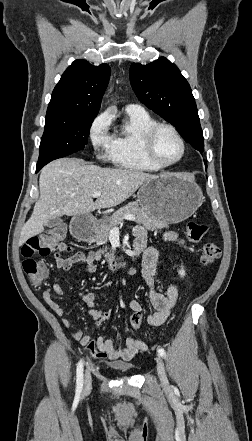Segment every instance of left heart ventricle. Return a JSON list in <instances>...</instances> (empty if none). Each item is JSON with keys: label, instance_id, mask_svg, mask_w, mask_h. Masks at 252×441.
Returning <instances> with one entry per match:
<instances>
[{"label": "left heart ventricle", "instance_id": "left-heart-ventricle-1", "mask_svg": "<svg viewBox=\"0 0 252 441\" xmlns=\"http://www.w3.org/2000/svg\"><path fill=\"white\" fill-rule=\"evenodd\" d=\"M181 144L168 130H161L155 138V154L164 163L177 159L181 154Z\"/></svg>", "mask_w": 252, "mask_h": 441}]
</instances>
